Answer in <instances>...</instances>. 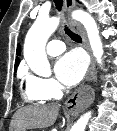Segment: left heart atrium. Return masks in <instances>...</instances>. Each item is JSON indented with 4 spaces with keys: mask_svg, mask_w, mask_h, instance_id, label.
<instances>
[{
    "mask_svg": "<svg viewBox=\"0 0 117 131\" xmlns=\"http://www.w3.org/2000/svg\"><path fill=\"white\" fill-rule=\"evenodd\" d=\"M87 68L85 56L77 50L66 53L55 64L57 78L66 86L76 85L83 78Z\"/></svg>",
    "mask_w": 117,
    "mask_h": 131,
    "instance_id": "1",
    "label": "left heart atrium"
}]
</instances>
